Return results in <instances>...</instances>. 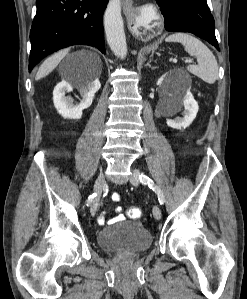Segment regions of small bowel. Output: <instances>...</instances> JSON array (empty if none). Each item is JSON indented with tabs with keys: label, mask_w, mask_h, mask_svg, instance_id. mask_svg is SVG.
Listing matches in <instances>:
<instances>
[{
	"label": "small bowel",
	"mask_w": 247,
	"mask_h": 299,
	"mask_svg": "<svg viewBox=\"0 0 247 299\" xmlns=\"http://www.w3.org/2000/svg\"><path fill=\"white\" fill-rule=\"evenodd\" d=\"M111 200L113 202H118L120 201V195L118 193H113L111 196ZM115 211L117 213H119L115 218H113L112 220H110V222H116V221H121L124 220L125 217L123 214H120V212L122 211V207L118 206L115 208ZM98 223L100 225H104L106 223V217H105V213H101L97 219Z\"/></svg>",
	"instance_id": "c3829d8e"
}]
</instances>
